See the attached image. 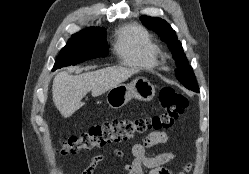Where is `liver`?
<instances>
[{"label": "liver", "mask_w": 249, "mask_h": 174, "mask_svg": "<svg viewBox=\"0 0 249 174\" xmlns=\"http://www.w3.org/2000/svg\"><path fill=\"white\" fill-rule=\"evenodd\" d=\"M137 72L125 67H107L76 76L60 72L53 80V102L64 118L70 117L84 105L82 99L88 92L93 97L100 96Z\"/></svg>", "instance_id": "1"}]
</instances>
